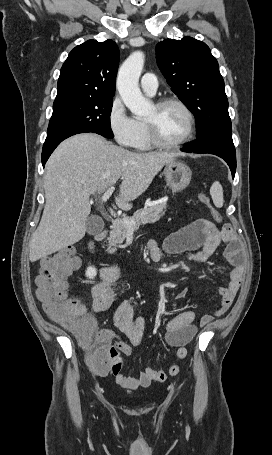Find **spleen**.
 Masks as SVG:
<instances>
[{"mask_svg": "<svg viewBox=\"0 0 272 455\" xmlns=\"http://www.w3.org/2000/svg\"><path fill=\"white\" fill-rule=\"evenodd\" d=\"M210 194L213 200V203L216 207L221 208L223 206L224 200H223V188L219 181H215L211 188H210Z\"/></svg>", "mask_w": 272, "mask_h": 455, "instance_id": "3e777b00", "label": "spleen"}]
</instances>
